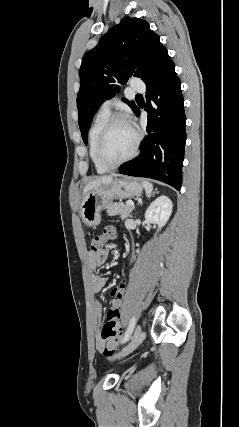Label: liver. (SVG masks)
Listing matches in <instances>:
<instances>
[{
  "label": "liver",
  "mask_w": 239,
  "mask_h": 427,
  "mask_svg": "<svg viewBox=\"0 0 239 427\" xmlns=\"http://www.w3.org/2000/svg\"><path fill=\"white\" fill-rule=\"evenodd\" d=\"M112 181H113V176H102L100 178H97L86 184V186L83 189V195H85L90 190L97 188L101 185H109L112 183Z\"/></svg>",
  "instance_id": "liver-1"
}]
</instances>
